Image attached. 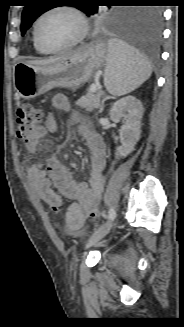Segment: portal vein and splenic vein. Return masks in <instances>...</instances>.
Segmentation results:
<instances>
[{
  "mask_svg": "<svg viewBox=\"0 0 184 327\" xmlns=\"http://www.w3.org/2000/svg\"><path fill=\"white\" fill-rule=\"evenodd\" d=\"M97 89H99V87L97 85H92L90 87V90L93 91V92H95Z\"/></svg>",
  "mask_w": 184,
  "mask_h": 327,
  "instance_id": "portal-vein-and-splenic-vein-1",
  "label": "portal vein and splenic vein"
}]
</instances>
